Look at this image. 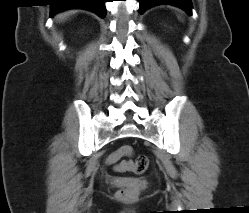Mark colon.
I'll return each mask as SVG.
<instances>
[{
	"label": "colon",
	"mask_w": 249,
	"mask_h": 213,
	"mask_svg": "<svg viewBox=\"0 0 249 213\" xmlns=\"http://www.w3.org/2000/svg\"><path fill=\"white\" fill-rule=\"evenodd\" d=\"M132 153V147L124 145L112 152L107 162L110 164L117 163L122 156L130 155ZM148 158L144 155L138 156L135 161H122L116 165L117 171H132L135 174H142L148 167ZM139 192V187L135 184H131L121 188L118 191V197L125 201H132L136 198Z\"/></svg>",
	"instance_id": "obj_1"
}]
</instances>
